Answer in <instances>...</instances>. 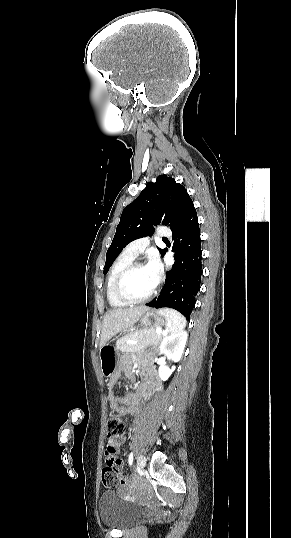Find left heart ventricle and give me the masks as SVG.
I'll return each instance as SVG.
<instances>
[{
	"label": "left heart ventricle",
	"instance_id": "left-heart-ventricle-1",
	"mask_svg": "<svg viewBox=\"0 0 291 538\" xmlns=\"http://www.w3.org/2000/svg\"><path fill=\"white\" fill-rule=\"evenodd\" d=\"M155 285V281L146 267L137 268L127 279L125 288L132 297L147 295Z\"/></svg>",
	"mask_w": 291,
	"mask_h": 538
}]
</instances>
